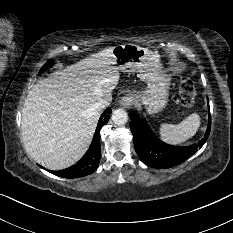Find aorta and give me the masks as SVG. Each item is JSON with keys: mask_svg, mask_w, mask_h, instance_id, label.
Instances as JSON below:
<instances>
[{"mask_svg": "<svg viewBox=\"0 0 233 233\" xmlns=\"http://www.w3.org/2000/svg\"><path fill=\"white\" fill-rule=\"evenodd\" d=\"M128 120V114L124 109H116L112 114V121L116 125H123Z\"/></svg>", "mask_w": 233, "mask_h": 233, "instance_id": "1", "label": "aorta"}]
</instances>
